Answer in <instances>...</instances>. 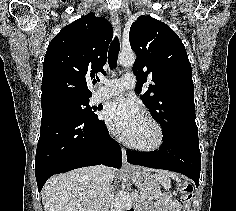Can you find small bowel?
Returning a JSON list of instances; mask_svg holds the SVG:
<instances>
[{"label": "small bowel", "instance_id": "1", "mask_svg": "<svg viewBox=\"0 0 236 211\" xmlns=\"http://www.w3.org/2000/svg\"><path fill=\"white\" fill-rule=\"evenodd\" d=\"M150 211H183V208L182 209L177 208L176 203L170 200L161 199L159 200L158 205Z\"/></svg>", "mask_w": 236, "mask_h": 211}]
</instances>
